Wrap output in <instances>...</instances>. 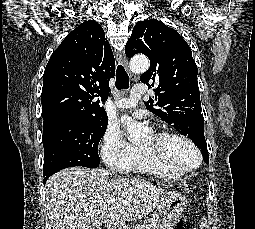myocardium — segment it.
<instances>
[{"mask_svg": "<svg viewBox=\"0 0 255 229\" xmlns=\"http://www.w3.org/2000/svg\"><path fill=\"white\" fill-rule=\"evenodd\" d=\"M153 136H154L155 140H157V141L168 138V137H174V138L180 139V140L184 141L186 144H188L193 149V151L196 153L198 160L195 165L189 166V167H184V168H176V167H173L171 164L167 163L155 149L142 146V148L148 153V155L150 157L155 159L161 166L166 168L172 174L186 175L188 173H191V172L197 170L201 166L202 161H203L202 153H201L200 149L197 147V145L188 136H186L180 132H177V131L156 132L153 134Z\"/></svg>", "mask_w": 255, "mask_h": 229, "instance_id": "obj_1", "label": "myocardium"}]
</instances>
